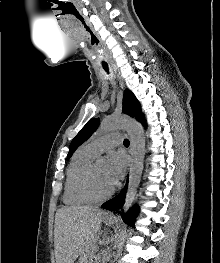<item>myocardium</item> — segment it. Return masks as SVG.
I'll list each match as a JSON object with an SVG mask.
<instances>
[{
	"mask_svg": "<svg viewBox=\"0 0 220 263\" xmlns=\"http://www.w3.org/2000/svg\"><path fill=\"white\" fill-rule=\"evenodd\" d=\"M94 164L95 163L92 162L85 172L82 183L83 190L93 201H102L112 196L116 190V187L114 185L105 193H100L97 191L94 182Z\"/></svg>",
	"mask_w": 220,
	"mask_h": 263,
	"instance_id": "obj_1",
	"label": "myocardium"
}]
</instances>
